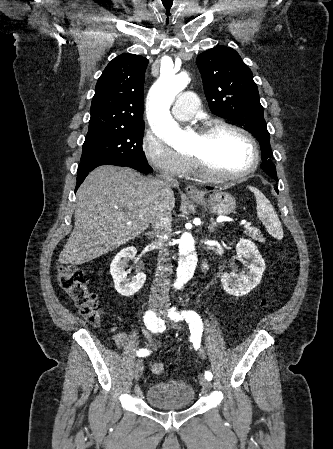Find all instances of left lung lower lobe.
<instances>
[{"label":"left lung lower lobe","mask_w":333,"mask_h":449,"mask_svg":"<svg viewBox=\"0 0 333 449\" xmlns=\"http://www.w3.org/2000/svg\"><path fill=\"white\" fill-rule=\"evenodd\" d=\"M277 180V179H276ZM208 189H212L211 187H209ZM277 193H278V190H277Z\"/></svg>","instance_id":"0a47b994"}]
</instances>
